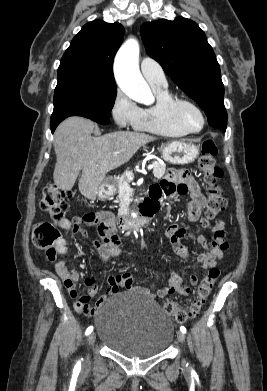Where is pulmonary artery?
<instances>
[{"instance_id":"e3ab8cb5","label":"pulmonary artery","mask_w":267,"mask_h":391,"mask_svg":"<svg viewBox=\"0 0 267 391\" xmlns=\"http://www.w3.org/2000/svg\"><path fill=\"white\" fill-rule=\"evenodd\" d=\"M141 72L151 87H166L167 80L162 67L154 59L144 57L140 63Z\"/></svg>"}]
</instances>
